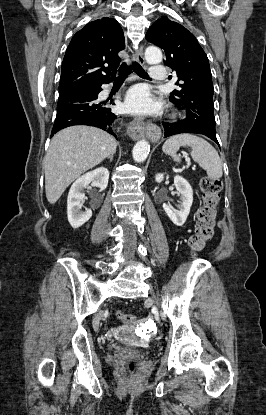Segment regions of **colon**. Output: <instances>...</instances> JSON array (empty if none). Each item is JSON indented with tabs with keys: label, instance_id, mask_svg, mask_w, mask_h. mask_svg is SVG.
Here are the masks:
<instances>
[{
	"label": "colon",
	"instance_id": "5ec220e1",
	"mask_svg": "<svg viewBox=\"0 0 266 415\" xmlns=\"http://www.w3.org/2000/svg\"><path fill=\"white\" fill-rule=\"evenodd\" d=\"M202 191V205L197 211V223L194 234L189 238L188 244L193 256L201 252L214 236V227L217 218V207L222 189L221 181L211 177H203L200 183ZM119 318L128 325H136L135 316L123 312L118 313ZM129 371L136 368L134 360L127 363Z\"/></svg>",
	"mask_w": 266,
	"mask_h": 415
}]
</instances>
